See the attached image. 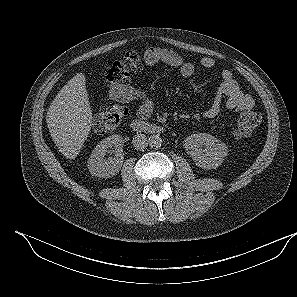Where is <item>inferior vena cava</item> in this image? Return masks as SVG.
<instances>
[{
    "mask_svg": "<svg viewBox=\"0 0 297 297\" xmlns=\"http://www.w3.org/2000/svg\"><path fill=\"white\" fill-rule=\"evenodd\" d=\"M133 147L136 150H143L147 147L148 145V140L147 137L144 134L138 133L133 137Z\"/></svg>",
    "mask_w": 297,
    "mask_h": 297,
    "instance_id": "obj_1",
    "label": "inferior vena cava"
}]
</instances>
